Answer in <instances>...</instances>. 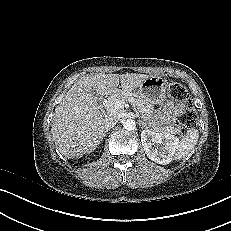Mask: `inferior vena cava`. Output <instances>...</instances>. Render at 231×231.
Masks as SVG:
<instances>
[{"label":"inferior vena cava","mask_w":231,"mask_h":231,"mask_svg":"<svg viewBox=\"0 0 231 231\" xmlns=\"http://www.w3.org/2000/svg\"><path fill=\"white\" fill-rule=\"evenodd\" d=\"M118 122V118L116 116L109 115L104 120V128L109 130L113 128Z\"/></svg>","instance_id":"602c4592"}]
</instances>
